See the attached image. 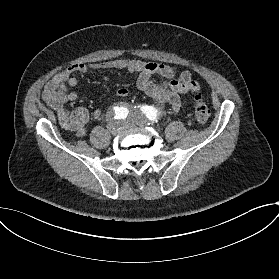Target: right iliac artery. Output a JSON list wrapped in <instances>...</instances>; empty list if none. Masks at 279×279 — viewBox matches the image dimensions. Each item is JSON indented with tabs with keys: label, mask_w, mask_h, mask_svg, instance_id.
Returning <instances> with one entry per match:
<instances>
[{
	"label": "right iliac artery",
	"mask_w": 279,
	"mask_h": 279,
	"mask_svg": "<svg viewBox=\"0 0 279 279\" xmlns=\"http://www.w3.org/2000/svg\"><path fill=\"white\" fill-rule=\"evenodd\" d=\"M129 114V111L126 107H115L111 110L110 115L115 120H122L126 118Z\"/></svg>",
	"instance_id": "obj_1"
}]
</instances>
